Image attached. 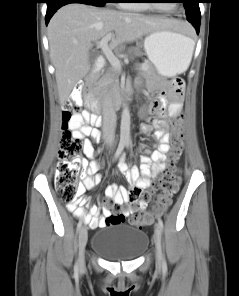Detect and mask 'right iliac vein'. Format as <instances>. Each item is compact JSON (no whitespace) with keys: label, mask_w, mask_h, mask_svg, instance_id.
<instances>
[{"label":"right iliac vein","mask_w":239,"mask_h":296,"mask_svg":"<svg viewBox=\"0 0 239 296\" xmlns=\"http://www.w3.org/2000/svg\"><path fill=\"white\" fill-rule=\"evenodd\" d=\"M88 240L87 227L83 226L79 233V266L83 267L85 262V248Z\"/></svg>","instance_id":"obj_1"}]
</instances>
